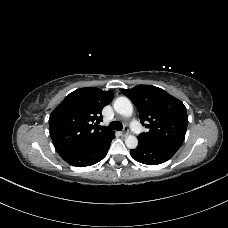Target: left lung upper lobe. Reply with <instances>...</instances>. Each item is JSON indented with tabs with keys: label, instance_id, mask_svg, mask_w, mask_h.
Returning <instances> with one entry per match:
<instances>
[{
	"label": "left lung upper lobe",
	"instance_id": "obj_1",
	"mask_svg": "<svg viewBox=\"0 0 228 228\" xmlns=\"http://www.w3.org/2000/svg\"><path fill=\"white\" fill-rule=\"evenodd\" d=\"M122 92L135 104L141 123L146 122L149 129L138 136L139 141L180 148L188 125L186 107L180 100L151 85H138Z\"/></svg>",
	"mask_w": 228,
	"mask_h": 228
}]
</instances>
